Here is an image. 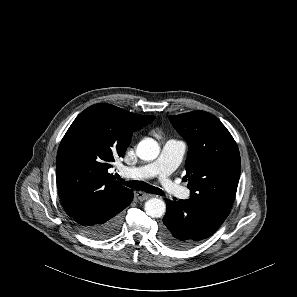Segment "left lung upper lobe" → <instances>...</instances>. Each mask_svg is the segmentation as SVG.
Here are the masks:
<instances>
[{
	"label": "left lung upper lobe",
	"mask_w": 297,
	"mask_h": 297,
	"mask_svg": "<svg viewBox=\"0 0 297 297\" xmlns=\"http://www.w3.org/2000/svg\"><path fill=\"white\" fill-rule=\"evenodd\" d=\"M170 121L189 145L183 178L190 189L188 200L231 209L241 161L230 132L218 118L201 110L171 115Z\"/></svg>",
	"instance_id": "left-lung-upper-lobe-1"
}]
</instances>
